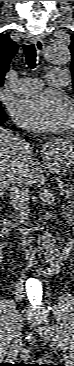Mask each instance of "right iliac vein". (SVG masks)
<instances>
[{"instance_id":"63e3f726","label":"right iliac vein","mask_w":74,"mask_h":366,"mask_svg":"<svg viewBox=\"0 0 74 366\" xmlns=\"http://www.w3.org/2000/svg\"><path fill=\"white\" fill-rule=\"evenodd\" d=\"M21 331H22V320L19 316H16L14 324H13V330H12V337L14 339L15 345L19 342L20 340V335H21ZM14 349H16V346L12 345ZM12 353H17L16 352H12Z\"/></svg>"}]
</instances>
